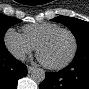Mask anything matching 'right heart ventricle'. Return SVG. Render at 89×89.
I'll use <instances>...</instances> for the list:
<instances>
[{"instance_id":"e07e8e85","label":"right heart ventricle","mask_w":89,"mask_h":89,"mask_svg":"<svg viewBox=\"0 0 89 89\" xmlns=\"http://www.w3.org/2000/svg\"><path fill=\"white\" fill-rule=\"evenodd\" d=\"M58 28L60 26L55 23H37L25 25L22 32L25 38L36 47L43 36Z\"/></svg>"}]
</instances>
